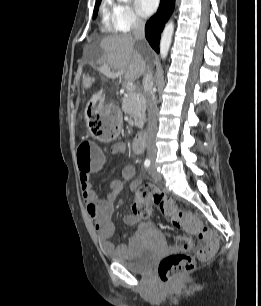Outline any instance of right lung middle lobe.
<instances>
[{"label":"right lung middle lobe","mask_w":261,"mask_h":306,"mask_svg":"<svg viewBox=\"0 0 261 306\" xmlns=\"http://www.w3.org/2000/svg\"><path fill=\"white\" fill-rule=\"evenodd\" d=\"M100 2H101V0L96 1L94 12H93V18H96V16H97L98 7H99Z\"/></svg>","instance_id":"obj_1"}]
</instances>
